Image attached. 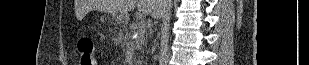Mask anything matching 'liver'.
Masks as SVG:
<instances>
[{
  "label": "liver",
  "mask_w": 309,
  "mask_h": 65,
  "mask_svg": "<svg viewBox=\"0 0 309 65\" xmlns=\"http://www.w3.org/2000/svg\"><path fill=\"white\" fill-rule=\"evenodd\" d=\"M83 6L84 2L81 1ZM138 7V11L143 15L150 14L153 18H161L165 11V2L162 0H97L90 7L99 11L109 13L127 14Z\"/></svg>",
  "instance_id": "6515ba94"
}]
</instances>
